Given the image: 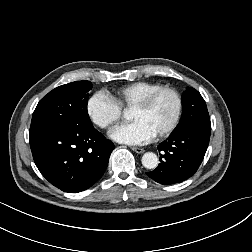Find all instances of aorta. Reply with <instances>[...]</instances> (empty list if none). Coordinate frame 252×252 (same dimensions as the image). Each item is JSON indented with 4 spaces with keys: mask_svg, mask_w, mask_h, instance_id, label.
Segmentation results:
<instances>
[{
    "mask_svg": "<svg viewBox=\"0 0 252 252\" xmlns=\"http://www.w3.org/2000/svg\"><path fill=\"white\" fill-rule=\"evenodd\" d=\"M124 117H128V113L125 112ZM142 165L147 169H155L158 166L159 159L153 152H147L142 156Z\"/></svg>",
    "mask_w": 252,
    "mask_h": 252,
    "instance_id": "aorta-1",
    "label": "aorta"
}]
</instances>
